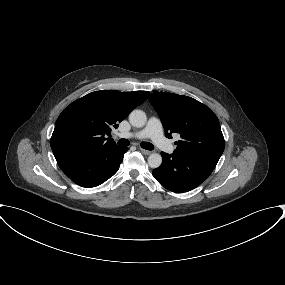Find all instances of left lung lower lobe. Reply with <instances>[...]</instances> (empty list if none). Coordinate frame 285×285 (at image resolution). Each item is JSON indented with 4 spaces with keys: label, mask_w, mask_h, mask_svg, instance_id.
<instances>
[{
    "label": "left lung lower lobe",
    "mask_w": 285,
    "mask_h": 285,
    "mask_svg": "<svg viewBox=\"0 0 285 285\" xmlns=\"http://www.w3.org/2000/svg\"><path fill=\"white\" fill-rule=\"evenodd\" d=\"M163 162L153 170L154 178L166 189L181 193L190 191L202 182L214 170V166L173 153L161 152Z\"/></svg>",
    "instance_id": "0a47b994"
}]
</instances>
